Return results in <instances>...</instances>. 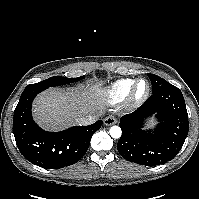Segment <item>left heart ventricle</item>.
<instances>
[{"label": "left heart ventricle", "instance_id": "1", "mask_svg": "<svg viewBox=\"0 0 199 199\" xmlns=\"http://www.w3.org/2000/svg\"><path fill=\"white\" fill-rule=\"evenodd\" d=\"M147 89V84L145 82H140L137 87V95H142Z\"/></svg>", "mask_w": 199, "mask_h": 199}]
</instances>
